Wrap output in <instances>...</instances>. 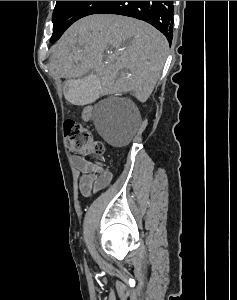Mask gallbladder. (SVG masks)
<instances>
[{"instance_id":"gallbladder-1","label":"gallbladder","mask_w":237,"mask_h":300,"mask_svg":"<svg viewBox=\"0 0 237 300\" xmlns=\"http://www.w3.org/2000/svg\"><path fill=\"white\" fill-rule=\"evenodd\" d=\"M71 76L66 84L64 98L69 105H93V101L99 100V94L103 93L101 78L97 72H90L89 76Z\"/></svg>"}]
</instances>
